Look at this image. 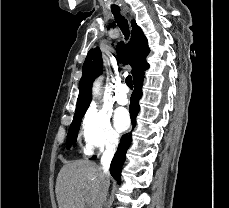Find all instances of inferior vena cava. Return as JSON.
<instances>
[{
  "label": "inferior vena cava",
  "instance_id": "602c4592",
  "mask_svg": "<svg viewBox=\"0 0 229 208\" xmlns=\"http://www.w3.org/2000/svg\"><path fill=\"white\" fill-rule=\"evenodd\" d=\"M114 156V150L113 148H110V150H106L104 152L102 158H101V178H107L108 182H105V184H102V204H104L107 196V188L109 186V168L111 164V160Z\"/></svg>",
  "mask_w": 229,
  "mask_h": 208
}]
</instances>
